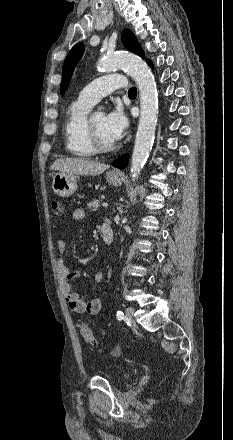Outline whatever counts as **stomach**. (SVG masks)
<instances>
[{
	"label": "stomach",
	"instance_id": "obj_1",
	"mask_svg": "<svg viewBox=\"0 0 233 440\" xmlns=\"http://www.w3.org/2000/svg\"><path fill=\"white\" fill-rule=\"evenodd\" d=\"M109 184L119 185L122 177L112 172L107 173ZM52 188L60 197H70L77 189V176L75 174L58 172L53 176Z\"/></svg>",
	"mask_w": 233,
	"mask_h": 440
}]
</instances>
